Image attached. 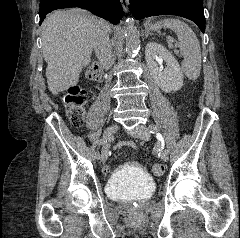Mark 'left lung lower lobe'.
<instances>
[{
  "label": "left lung lower lobe",
  "instance_id": "left-lung-lower-lobe-1",
  "mask_svg": "<svg viewBox=\"0 0 240 238\" xmlns=\"http://www.w3.org/2000/svg\"><path fill=\"white\" fill-rule=\"evenodd\" d=\"M129 10L135 19L149 16L177 15L190 19L205 32L203 0H129Z\"/></svg>",
  "mask_w": 240,
  "mask_h": 238
}]
</instances>
